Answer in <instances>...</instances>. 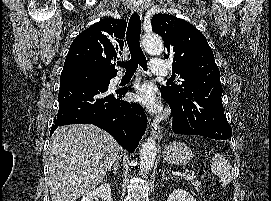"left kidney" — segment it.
Returning a JSON list of instances; mask_svg holds the SVG:
<instances>
[{
  "mask_svg": "<svg viewBox=\"0 0 271 201\" xmlns=\"http://www.w3.org/2000/svg\"><path fill=\"white\" fill-rule=\"evenodd\" d=\"M167 201H196L194 197L183 189H175L172 194L169 195Z\"/></svg>",
  "mask_w": 271,
  "mask_h": 201,
  "instance_id": "1",
  "label": "left kidney"
}]
</instances>
